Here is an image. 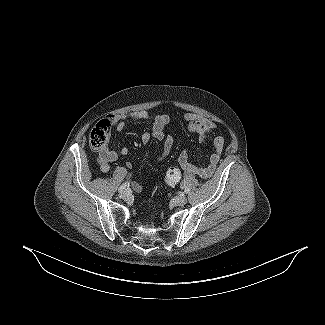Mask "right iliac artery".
<instances>
[{
	"label": "right iliac artery",
	"instance_id": "right-iliac-artery-1",
	"mask_svg": "<svg viewBox=\"0 0 325 325\" xmlns=\"http://www.w3.org/2000/svg\"><path fill=\"white\" fill-rule=\"evenodd\" d=\"M129 186V183H123L120 187H119V189H118V191L121 193L122 191H124L125 189H126V187H128Z\"/></svg>",
	"mask_w": 325,
	"mask_h": 325
}]
</instances>
